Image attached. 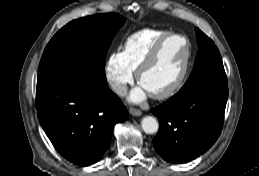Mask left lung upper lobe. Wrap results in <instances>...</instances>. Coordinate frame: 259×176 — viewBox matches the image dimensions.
Listing matches in <instances>:
<instances>
[{
  "label": "left lung upper lobe",
  "mask_w": 259,
  "mask_h": 176,
  "mask_svg": "<svg viewBox=\"0 0 259 176\" xmlns=\"http://www.w3.org/2000/svg\"><path fill=\"white\" fill-rule=\"evenodd\" d=\"M196 30L198 52L193 71L180 91L205 81L227 83L220 53L214 42L198 28Z\"/></svg>",
  "instance_id": "left-lung-upper-lobe-1"
}]
</instances>
